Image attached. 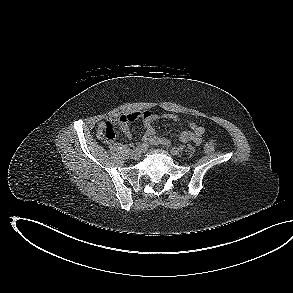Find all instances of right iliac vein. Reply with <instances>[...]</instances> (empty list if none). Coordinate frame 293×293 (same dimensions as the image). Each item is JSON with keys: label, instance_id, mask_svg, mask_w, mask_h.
Returning a JSON list of instances; mask_svg holds the SVG:
<instances>
[{"label": "right iliac vein", "instance_id": "63e3f726", "mask_svg": "<svg viewBox=\"0 0 293 293\" xmlns=\"http://www.w3.org/2000/svg\"><path fill=\"white\" fill-rule=\"evenodd\" d=\"M141 153H142V149L137 147L131 150L130 156L131 158L136 160V159H139V157L141 156Z\"/></svg>", "mask_w": 293, "mask_h": 293}]
</instances>
